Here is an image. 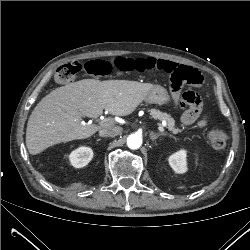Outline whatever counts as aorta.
<instances>
[{
	"mask_svg": "<svg viewBox=\"0 0 250 250\" xmlns=\"http://www.w3.org/2000/svg\"><path fill=\"white\" fill-rule=\"evenodd\" d=\"M142 144V137L139 134H131L127 138V145L130 149H138Z\"/></svg>",
	"mask_w": 250,
	"mask_h": 250,
	"instance_id": "1",
	"label": "aorta"
}]
</instances>
